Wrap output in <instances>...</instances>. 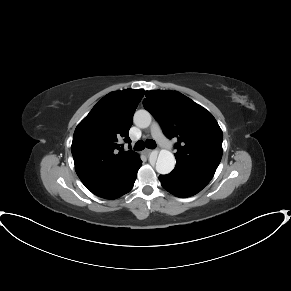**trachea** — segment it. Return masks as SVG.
Instances as JSON below:
<instances>
[{
    "instance_id": "obj_1",
    "label": "trachea",
    "mask_w": 291,
    "mask_h": 291,
    "mask_svg": "<svg viewBox=\"0 0 291 291\" xmlns=\"http://www.w3.org/2000/svg\"><path fill=\"white\" fill-rule=\"evenodd\" d=\"M145 146L146 148L154 149L156 147V142L152 139H148L145 143L142 140H140L136 142L134 149L136 151H141L145 148Z\"/></svg>"
}]
</instances>
